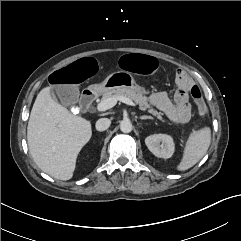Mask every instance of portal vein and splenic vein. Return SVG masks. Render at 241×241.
Returning <instances> with one entry per match:
<instances>
[{"label":"portal vein and splenic vein","mask_w":241,"mask_h":241,"mask_svg":"<svg viewBox=\"0 0 241 241\" xmlns=\"http://www.w3.org/2000/svg\"><path fill=\"white\" fill-rule=\"evenodd\" d=\"M117 101H121L127 105H130V106H134V102L127 98V97H124V96H120V97H111V98H107L103 101H101L98 105H97V110L99 112H102V111H106L112 107H114L116 104H117Z\"/></svg>","instance_id":"portal-vein-and-splenic-vein-1"}]
</instances>
